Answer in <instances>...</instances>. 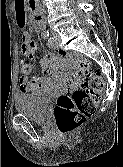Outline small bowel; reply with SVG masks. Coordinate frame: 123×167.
<instances>
[{"label":"small bowel","mask_w":123,"mask_h":167,"mask_svg":"<svg viewBox=\"0 0 123 167\" xmlns=\"http://www.w3.org/2000/svg\"><path fill=\"white\" fill-rule=\"evenodd\" d=\"M14 3L17 9L15 10V14L18 17L17 24L23 27L25 24H28V20H26L27 13H25L27 1L14 0ZM21 39V54L26 57L32 56L36 46L31 41L30 33L23 32ZM62 57V51H59L57 57L49 54L42 55L40 58V66L45 75L37 78L30 77L32 66L28 63L26 65V72H22L23 75L20 78V93L47 97H54L63 93L69 86V74L67 67L61 62Z\"/></svg>","instance_id":"small-bowel-1"}]
</instances>
